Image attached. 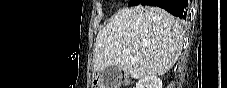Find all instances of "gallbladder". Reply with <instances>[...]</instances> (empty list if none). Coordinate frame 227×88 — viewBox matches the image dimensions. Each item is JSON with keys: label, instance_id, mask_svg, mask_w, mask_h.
<instances>
[{"label": "gallbladder", "instance_id": "1", "mask_svg": "<svg viewBox=\"0 0 227 88\" xmlns=\"http://www.w3.org/2000/svg\"><path fill=\"white\" fill-rule=\"evenodd\" d=\"M120 79V70L115 66H109L101 72V81L108 88L119 86Z\"/></svg>", "mask_w": 227, "mask_h": 88}]
</instances>
